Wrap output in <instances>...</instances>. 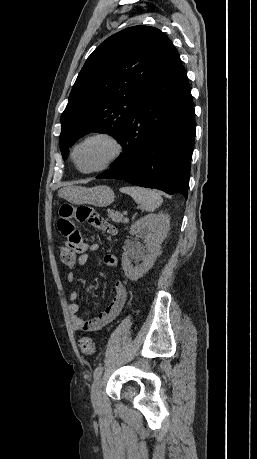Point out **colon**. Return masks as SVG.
I'll use <instances>...</instances> for the list:
<instances>
[{
	"label": "colon",
	"instance_id": "1",
	"mask_svg": "<svg viewBox=\"0 0 257 459\" xmlns=\"http://www.w3.org/2000/svg\"><path fill=\"white\" fill-rule=\"evenodd\" d=\"M67 205V204H66ZM60 260L64 265L72 266L76 262V257L74 256V251L68 250V242L65 245L60 247ZM79 348L81 352L85 355H92L95 352V343L90 337H81L79 339Z\"/></svg>",
	"mask_w": 257,
	"mask_h": 459
}]
</instances>
